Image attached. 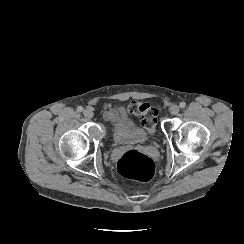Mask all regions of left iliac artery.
I'll return each instance as SVG.
<instances>
[{"label":"left iliac artery","instance_id":"obj_1","mask_svg":"<svg viewBox=\"0 0 244 244\" xmlns=\"http://www.w3.org/2000/svg\"><path fill=\"white\" fill-rule=\"evenodd\" d=\"M179 106H180L181 108H184V107L186 106V103H185V102H180Z\"/></svg>","mask_w":244,"mask_h":244}]
</instances>
